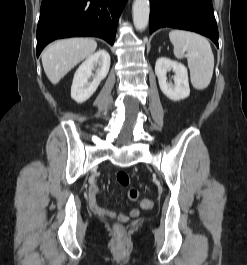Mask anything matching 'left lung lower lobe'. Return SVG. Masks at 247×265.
<instances>
[{"mask_svg":"<svg viewBox=\"0 0 247 265\" xmlns=\"http://www.w3.org/2000/svg\"><path fill=\"white\" fill-rule=\"evenodd\" d=\"M163 27L194 31L218 47V28L211 0H165L150 3V33Z\"/></svg>","mask_w":247,"mask_h":265,"instance_id":"left-lung-lower-lobe-1","label":"left lung lower lobe"}]
</instances>
